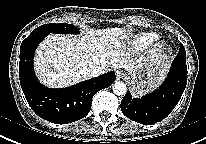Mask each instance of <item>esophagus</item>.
Instances as JSON below:
<instances>
[{
	"label": "esophagus",
	"instance_id": "obj_1",
	"mask_svg": "<svg viewBox=\"0 0 206 144\" xmlns=\"http://www.w3.org/2000/svg\"><path fill=\"white\" fill-rule=\"evenodd\" d=\"M124 73L122 71H117L116 72V79L117 80H120V79H123L124 78Z\"/></svg>",
	"mask_w": 206,
	"mask_h": 144
}]
</instances>
